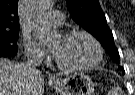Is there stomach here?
Wrapping results in <instances>:
<instances>
[{
    "instance_id": "stomach-1",
    "label": "stomach",
    "mask_w": 135,
    "mask_h": 95,
    "mask_svg": "<svg viewBox=\"0 0 135 95\" xmlns=\"http://www.w3.org/2000/svg\"><path fill=\"white\" fill-rule=\"evenodd\" d=\"M53 87L60 95H93L95 91L92 79L82 72L54 81Z\"/></svg>"
}]
</instances>
